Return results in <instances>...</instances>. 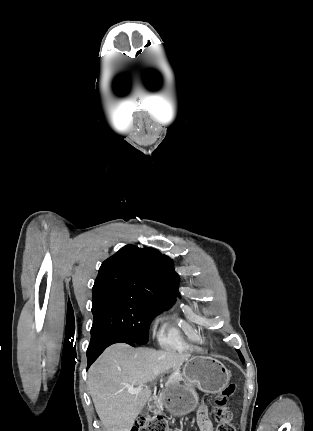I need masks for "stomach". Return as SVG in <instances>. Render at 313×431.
<instances>
[{"label":"stomach","instance_id":"0dacf381","mask_svg":"<svg viewBox=\"0 0 313 431\" xmlns=\"http://www.w3.org/2000/svg\"><path fill=\"white\" fill-rule=\"evenodd\" d=\"M184 384L176 379H169L160 400L175 415L187 414L197 405L195 388L205 393H218L226 388L230 381L229 370L217 359L208 356L189 358L182 371Z\"/></svg>","mask_w":313,"mask_h":431}]
</instances>
